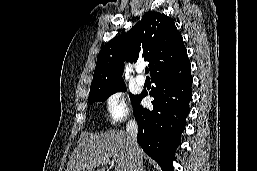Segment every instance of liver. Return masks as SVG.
<instances>
[{"label": "liver", "mask_w": 257, "mask_h": 171, "mask_svg": "<svg viewBox=\"0 0 257 171\" xmlns=\"http://www.w3.org/2000/svg\"><path fill=\"white\" fill-rule=\"evenodd\" d=\"M142 163L145 154L138 147ZM115 162V171H131L130 139L127 133L111 131L100 134L82 133L81 141L74 149L66 171H110ZM106 169H98L99 166Z\"/></svg>", "instance_id": "6515ba94"}]
</instances>
